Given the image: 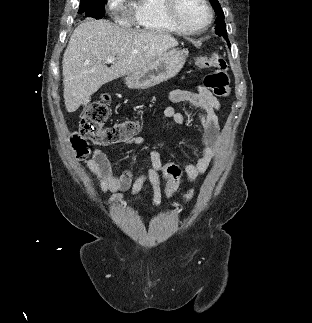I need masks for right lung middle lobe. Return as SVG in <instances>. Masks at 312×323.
Masks as SVG:
<instances>
[{
    "label": "right lung middle lobe",
    "instance_id": "dd1d6c3e",
    "mask_svg": "<svg viewBox=\"0 0 312 323\" xmlns=\"http://www.w3.org/2000/svg\"><path fill=\"white\" fill-rule=\"evenodd\" d=\"M106 0H80L79 14L95 19H101L105 15L104 2Z\"/></svg>",
    "mask_w": 312,
    "mask_h": 323
}]
</instances>
